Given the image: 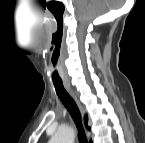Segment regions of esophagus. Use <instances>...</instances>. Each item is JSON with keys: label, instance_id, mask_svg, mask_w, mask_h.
<instances>
[{"label": "esophagus", "instance_id": "34e87169", "mask_svg": "<svg viewBox=\"0 0 145 143\" xmlns=\"http://www.w3.org/2000/svg\"><path fill=\"white\" fill-rule=\"evenodd\" d=\"M66 88L68 89V91L72 94V96L74 97L79 109H80V112L81 114L83 115L84 114V109H83V106L81 105L80 101L78 100L76 94L70 90V87L66 84Z\"/></svg>", "mask_w": 145, "mask_h": 143}]
</instances>
